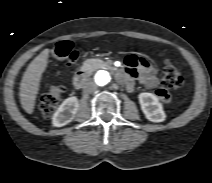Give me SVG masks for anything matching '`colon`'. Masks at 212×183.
<instances>
[{"label": "colon", "mask_w": 212, "mask_h": 183, "mask_svg": "<svg viewBox=\"0 0 212 183\" xmlns=\"http://www.w3.org/2000/svg\"><path fill=\"white\" fill-rule=\"evenodd\" d=\"M51 54L54 58L59 60H67L74 63L79 55L78 49L70 41L57 42L51 49ZM182 73L170 62H165V67L162 75L161 86L156 90V95L160 101L167 103L171 100L169 89L178 88L183 83ZM63 88L60 85H53L49 91L45 93L39 104L42 115L49 118L57 109Z\"/></svg>", "instance_id": "colon-1"}]
</instances>
